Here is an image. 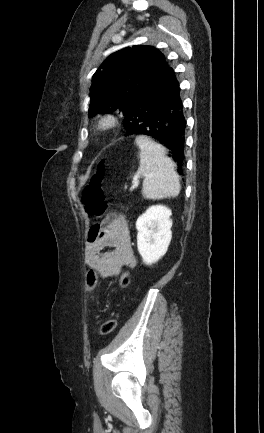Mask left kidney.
Masks as SVG:
<instances>
[{"label": "left kidney", "mask_w": 264, "mask_h": 433, "mask_svg": "<svg viewBox=\"0 0 264 433\" xmlns=\"http://www.w3.org/2000/svg\"><path fill=\"white\" fill-rule=\"evenodd\" d=\"M171 210L163 205L150 206L136 221L137 247L146 265L165 255L172 238Z\"/></svg>", "instance_id": "obj_1"}]
</instances>
